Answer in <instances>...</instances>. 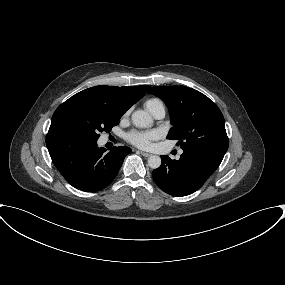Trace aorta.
<instances>
[{
    "label": "aorta",
    "instance_id": "762f6f07",
    "mask_svg": "<svg viewBox=\"0 0 285 285\" xmlns=\"http://www.w3.org/2000/svg\"><path fill=\"white\" fill-rule=\"evenodd\" d=\"M132 122L138 128H149L153 125V119L150 114L144 110H137L132 114ZM161 165V158L157 155H151L148 158V166L157 169Z\"/></svg>",
    "mask_w": 285,
    "mask_h": 285
}]
</instances>
